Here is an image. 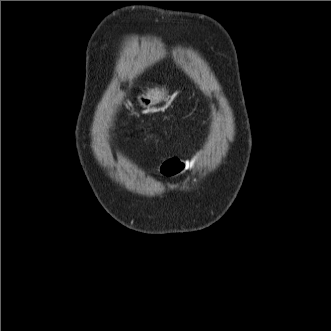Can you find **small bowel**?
Segmentation results:
<instances>
[{"mask_svg": "<svg viewBox=\"0 0 331 331\" xmlns=\"http://www.w3.org/2000/svg\"><path fill=\"white\" fill-rule=\"evenodd\" d=\"M199 159V153L194 154L189 159L170 158L162 163L160 172L162 175L172 178L184 171L191 170L195 167Z\"/></svg>", "mask_w": 331, "mask_h": 331, "instance_id": "small-bowel-1", "label": "small bowel"}]
</instances>
